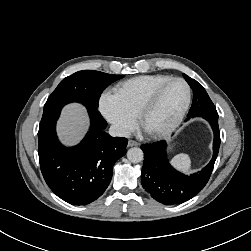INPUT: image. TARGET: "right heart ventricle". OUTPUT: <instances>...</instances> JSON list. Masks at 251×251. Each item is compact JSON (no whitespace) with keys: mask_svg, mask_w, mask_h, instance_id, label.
Returning a JSON list of instances; mask_svg holds the SVG:
<instances>
[{"mask_svg":"<svg viewBox=\"0 0 251 251\" xmlns=\"http://www.w3.org/2000/svg\"><path fill=\"white\" fill-rule=\"evenodd\" d=\"M172 78L169 75H141L119 83L115 94L122 104L135 116L152 91L160 84Z\"/></svg>","mask_w":251,"mask_h":251,"instance_id":"obj_1","label":"right heart ventricle"}]
</instances>
